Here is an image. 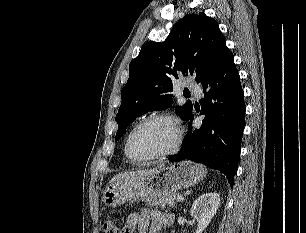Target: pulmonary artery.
<instances>
[{
  "mask_svg": "<svg viewBox=\"0 0 306 233\" xmlns=\"http://www.w3.org/2000/svg\"><path fill=\"white\" fill-rule=\"evenodd\" d=\"M189 89L192 93H194L198 97L201 96L203 93V89L199 85L194 83L190 84Z\"/></svg>",
  "mask_w": 306,
  "mask_h": 233,
  "instance_id": "e3ab8cb5",
  "label": "pulmonary artery"
}]
</instances>
